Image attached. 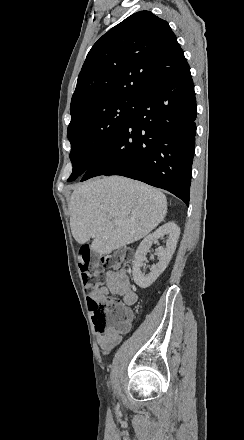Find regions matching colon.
I'll use <instances>...</instances> for the list:
<instances>
[{
    "instance_id": "1",
    "label": "colon",
    "mask_w": 244,
    "mask_h": 440,
    "mask_svg": "<svg viewBox=\"0 0 244 440\" xmlns=\"http://www.w3.org/2000/svg\"><path fill=\"white\" fill-rule=\"evenodd\" d=\"M112 256L107 263H103L101 269L103 272L122 271L127 262L133 259L132 248H115ZM76 255L84 262H80L79 269L82 271V278L86 284L85 293L94 294L95 285L101 280V270L99 262H89L91 259L90 248H77ZM87 303L90 307L93 319H105L106 330H113L116 333L128 331L129 319L133 312L132 305H124L109 297L106 304H99L98 298L87 296Z\"/></svg>"
}]
</instances>
